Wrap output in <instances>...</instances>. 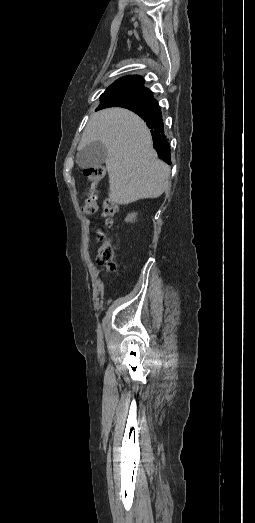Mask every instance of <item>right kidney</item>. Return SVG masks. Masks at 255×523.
Segmentation results:
<instances>
[{
  "label": "right kidney",
  "instance_id": "ca27d5eb",
  "mask_svg": "<svg viewBox=\"0 0 255 523\" xmlns=\"http://www.w3.org/2000/svg\"><path fill=\"white\" fill-rule=\"evenodd\" d=\"M136 218V214H128L127 218H125V222H134Z\"/></svg>",
  "mask_w": 255,
  "mask_h": 523
}]
</instances>
